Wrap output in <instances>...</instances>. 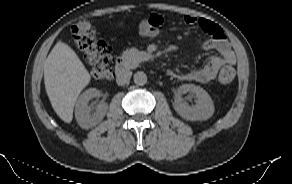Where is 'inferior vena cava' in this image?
I'll use <instances>...</instances> for the list:
<instances>
[{"label":"inferior vena cava","mask_w":292,"mask_h":184,"mask_svg":"<svg viewBox=\"0 0 292 184\" xmlns=\"http://www.w3.org/2000/svg\"><path fill=\"white\" fill-rule=\"evenodd\" d=\"M132 72L129 70H119L117 72L116 82L118 85H124L130 81Z\"/></svg>","instance_id":"1"}]
</instances>
